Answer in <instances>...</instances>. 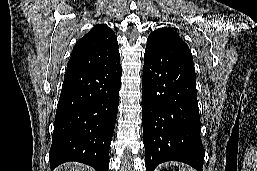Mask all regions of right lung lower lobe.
Masks as SVG:
<instances>
[{
	"label": "right lung lower lobe",
	"instance_id": "right-lung-lower-lobe-1",
	"mask_svg": "<svg viewBox=\"0 0 257 171\" xmlns=\"http://www.w3.org/2000/svg\"><path fill=\"white\" fill-rule=\"evenodd\" d=\"M121 71L119 60L99 69L65 73L49 152L51 169L77 161L108 171Z\"/></svg>",
	"mask_w": 257,
	"mask_h": 171
}]
</instances>
